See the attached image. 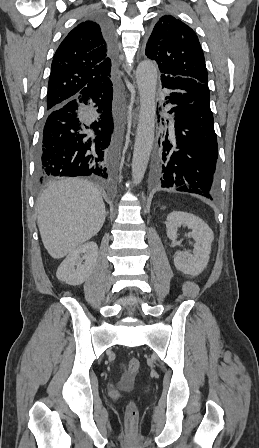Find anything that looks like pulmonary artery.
<instances>
[{
  "mask_svg": "<svg viewBox=\"0 0 259 448\" xmlns=\"http://www.w3.org/2000/svg\"><path fill=\"white\" fill-rule=\"evenodd\" d=\"M169 108H171L172 107V105L171 104H169V106H168Z\"/></svg>",
  "mask_w": 259,
  "mask_h": 448,
  "instance_id": "obj_1",
  "label": "pulmonary artery"
}]
</instances>
